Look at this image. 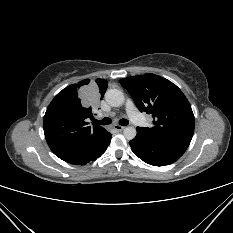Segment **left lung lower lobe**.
I'll return each mask as SVG.
<instances>
[{"label": "left lung lower lobe", "instance_id": "obj_1", "mask_svg": "<svg viewBox=\"0 0 233 233\" xmlns=\"http://www.w3.org/2000/svg\"><path fill=\"white\" fill-rule=\"evenodd\" d=\"M132 151L147 164L165 166L177 161L185 152L183 149L164 146L151 141L137 132L136 137L129 142Z\"/></svg>", "mask_w": 233, "mask_h": 233}]
</instances>
